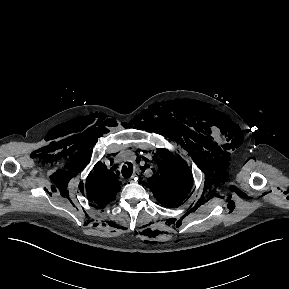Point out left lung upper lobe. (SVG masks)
Returning <instances> with one entry per match:
<instances>
[{
  "mask_svg": "<svg viewBox=\"0 0 289 289\" xmlns=\"http://www.w3.org/2000/svg\"><path fill=\"white\" fill-rule=\"evenodd\" d=\"M162 161H157L159 171L149 179L147 186L158 202L173 208L180 204L192 187V175L187 165L171 153L161 152Z\"/></svg>",
  "mask_w": 289,
  "mask_h": 289,
  "instance_id": "5c2ea615",
  "label": "left lung upper lobe"
}]
</instances>
